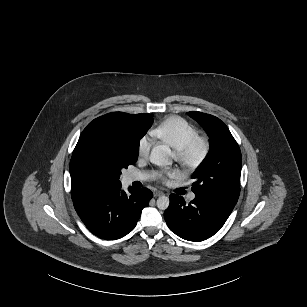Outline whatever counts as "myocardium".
<instances>
[{"label": "myocardium", "mask_w": 307, "mask_h": 307, "mask_svg": "<svg viewBox=\"0 0 307 307\" xmlns=\"http://www.w3.org/2000/svg\"><path fill=\"white\" fill-rule=\"evenodd\" d=\"M210 151L207 139L196 137L184 147L174 150L173 155L187 169H197L202 165Z\"/></svg>", "instance_id": "myocardium-1"}]
</instances>
